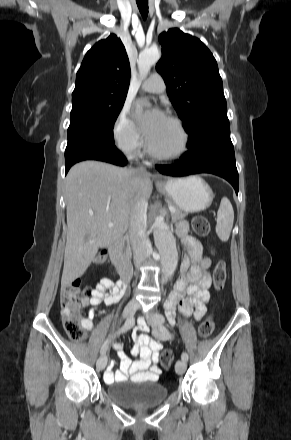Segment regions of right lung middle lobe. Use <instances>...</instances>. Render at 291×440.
Returning <instances> with one entry per match:
<instances>
[{
    "label": "right lung middle lobe",
    "instance_id": "dd1d6c3e",
    "mask_svg": "<svg viewBox=\"0 0 291 440\" xmlns=\"http://www.w3.org/2000/svg\"><path fill=\"white\" fill-rule=\"evenodd\" d=\"M125 99L81 100L72 103L68 140L94 138L114 143L113 126Z\"/></svg>",
    "mask_w": 291,
    "mask_h": 440
}]
</instances>
